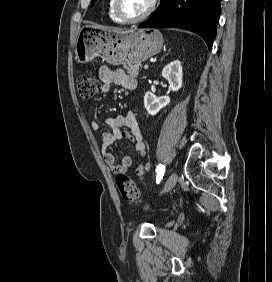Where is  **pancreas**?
Listing matches in <instances>:
<instances>
[{"mask_svg": "<svg viewBox=\"0 0 272 282\" xmlns=\"http://www.w3.org/2000/svg\"><path fill=\"white\" fill-rule=\"evenodd\" d=\"M126 69L128 75H130L133 78H136L140 74V65L139 64H129L128 66H124Z\"/></svg>", "mask_w": 272, "mask_h": 282, "instance_id": "pancreas-1", "label": "pancreas"}]
</instances>
